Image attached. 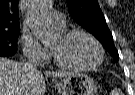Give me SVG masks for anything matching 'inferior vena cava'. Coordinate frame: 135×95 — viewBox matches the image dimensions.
<instances>
[{
  "mask_svg": "<svg viewBox=\"0 0 135 95\" xmlns=\"http://www.w3.org/2000/svg\"><path fill=\"white\" fill-rule=\"evenodd\" d=\"M38 64H39V62H38L37 58L32 57L25 63V66L28 68V70L34 71V70H36Z\"/></svg>",
  "mask_w": 135,
  "mask_h": 95,
  "instance_id": "1",
  "label": "inferior vena cava"
}]
</instances>
